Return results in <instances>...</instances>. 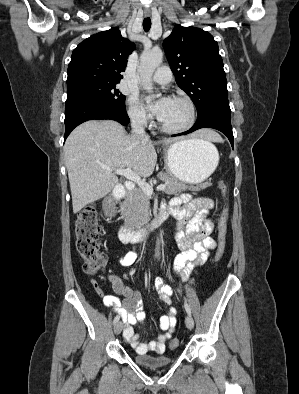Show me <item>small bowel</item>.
<instances>
[{
  "label": "small bowel",
  "instance_id": "c3829d8e",
  "mask_svg": "<svg viewBox=\"0 0 299 394\" xmlns=\"http://www.w3.org/2000/svg\"><path fill=\"white\" fill-rule=\"evenodd\" d=\"M163 208L177 220L176 241L181 252L174 259V270L186 281L189 279L191 270L202 265L207 260L210 251L216 247V242L211 237L214 223L209 219L210 211L214 208V201L210 198L194 199L189 194H181ZM136 260V253L127 252L120 257L119 263L127 267L134 264ZM111 281L114 292L124 298L108 295L105 296L104 303L112 306L114 311L122 317L125 324L124 337L138 354L164 352L165 345L171 339L177 322V309L172 298L175 292L173 287L162 278H156L155 289L161 301L168 307V312L159 319L163 332L157 340L143 341L133 329L135 324L146 317L145 312L142 311L141 293L125 285L117 276H111Z\"/></svg>",
  "mask_w": 299,
  "mask_h": 394
}]
</instances>
